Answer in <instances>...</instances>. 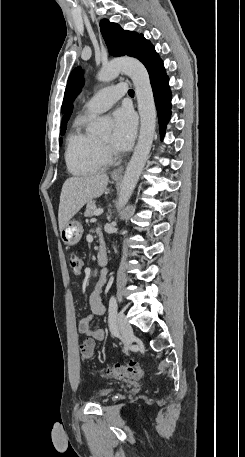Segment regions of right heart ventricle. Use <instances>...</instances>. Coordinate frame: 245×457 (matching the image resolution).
Here are the masks:
<instances>
[{
	"instance_id": "right-heart-ventricle-1",
	"label": "right heart ventricle",
	"mask_w": 245,
	"mask_h": 457,
	"mask_svg": "<svg viewBox=\"0 0 245 457\" xmlns=\"http://www.w3.org/2000/svg\"><path fill=\"white\" fill-rule=\"evenodd\" d=\"M87 118L74 121L67 135V163L74 173L100 170L107 164L94 152L95 137L88 131Z\"/></svg>"
}]
</instances>
